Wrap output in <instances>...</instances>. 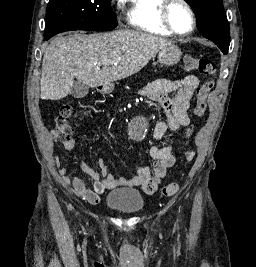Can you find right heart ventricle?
I'll use <instances>...</instances> for the list:
<instances>
[{"label": "right heart ventricle", "instance_id": "right-heart-ventricle-1", "mask_svg": "<svg viewBox=\"0 0 256 267\" xmlns=\"http://www.w3.org/2000/svg\"><path fill=\"white\" fill-rule=\"evenodd\" d=\"M166 0H137L133 6L132 22L143 28V36H174L162 24L160 14Z\"/></svg>", "mask_w": 256, "mask_h": 267}]
</instances>
